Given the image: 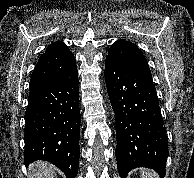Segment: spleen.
I'll return each instance as SVG.
<instances>
[{
	"instance_id": "1",
	"label": "spleen",
	"mask_w": 194,
	"mask_h": 178,
	"mask_svg": "<svg viewBox=\"0 0 194 178\" xmlns=\"http://www.w3.org/2000/svg\"><path fill=\"white\" fill-rule=\"evenodd\" d=\"M140 178H159L157 174L149 169H142L140 172Z\"/></svg>"
}]
</instances>
